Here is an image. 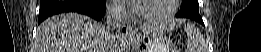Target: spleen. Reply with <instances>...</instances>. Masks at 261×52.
<instances>
[{
    "label": "spleen",
    "mask_w": 261,
    "mask_h": 52,
    "mask_svg": "<svg viewBox=\"0 0 261 52\" xmlns=\"http://www.w3.org/2000/svg\"><path fill=\"white\" fill-rule=\"evenodd\" d=\"M184 29L187 33V37H188V47L189 45L191 46H196V42L197 39L195 38V36L200 35V31L198 30V28H196L193 24L187 23L184 25Z\"/></svg>",
    "instance_id": "obj_1"
}]
</instances>
